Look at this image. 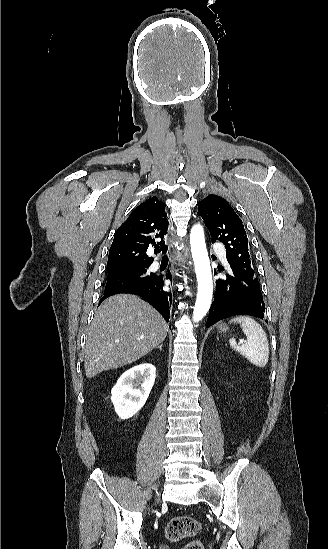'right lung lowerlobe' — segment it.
I'll return each mask as SVG.
<instances>
[{"label": "right lung lower lobe", "instance_id": "right-lung-lower-lobe-1", "mask_svg": "<svg viewBox=\"0 0 328 549\" xmlns=\"http://www.w3.org/2000/svg\"><path fill=\"white\" fill-rule=\"evenodd\" d=\"M165 280H171L170 272H167L166 274H154V276L145 283L129 284L104 292V296L101 298L100 303L108 296L117 293H132L140 295L157 311H159L168 322L170 318L169 308L171 306L172 296L169 292L163 290Z\"/></svg>", "mask_w": 328, "mask_h": 549}]
</instances>
